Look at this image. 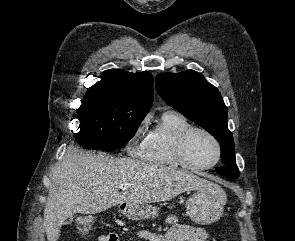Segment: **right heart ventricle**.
Listing matches in <instances>:
<instances>
[{"label":"right heart ventricle","instance_id":"e07e8e85","mask_svg":"<svg viewBox=\"0 0 295 241\" xmlns=\"http://www.w3.org/2000/svg\"><path fill=\"white\" fill-rule=\"evenodd\" d=\"M190 126L192 124L189 119L180 112L164 111L138 149V157L156 165H178L174 156V144L179 135Z\"/></svg>","mask_w":295,"mask_h":241}]
</instances>
